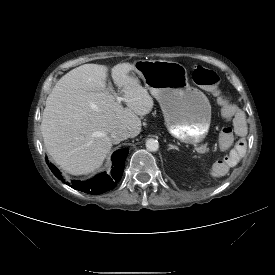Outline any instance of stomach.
I'll return each mask as SVG.
<instances>
[{
  "label": "stomach",
  "instance_id": "stomach-1",
  "mask_svg": "<svg viewBox=\"0 0 275 275\" xmlns=\"http://www.w3.org/2000/svg\"><path fill=\"white\" fill-rule=\"evenodd\" d=\"M133 66L159 102L169 133L184 143L203 141L211 123V105L203 92L189 85L186 68L164 60H139Z\"/></svg>",
  "mask_w": 275,
  "mask_h": 275
}]
</instances>
